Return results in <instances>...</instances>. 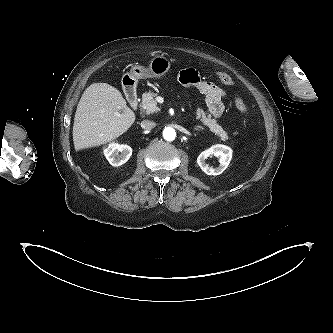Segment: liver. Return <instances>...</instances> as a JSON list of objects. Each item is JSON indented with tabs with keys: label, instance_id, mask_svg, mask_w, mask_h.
Returning a JSON list of instances; mask_svg holds the SVG:
<instances>
[{
	"label": "liver",
	"instance_id": "obj_1",
	"mask_svg": "<svg viewBox=\"0 0 333 333\" xmlns=\"http://www.w3.org/2000/svg\"><path fill=\"white\" fill-rule=\"evenodd\" d=\"M136 116L121 92L107 83L87 87L78 103L73 142L76 151L111 142L125 133Z\"/></svg>",
	"mask_w": 333,
	"mask_h": 333
}]
</instances>
